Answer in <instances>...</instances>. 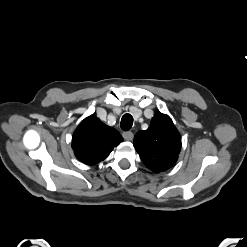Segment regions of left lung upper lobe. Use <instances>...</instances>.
Wrapping results in <instances>:
<instances>
[{"mask_svg":"<svg viewBox=\"0 0 247 247\" xmlns=\"http://www.w3.org/2000/svg\"><path fill=\"white\" fill-rule=\"evenodd\" d=\"M134 147L143 163L158 173L171 168L177 161L181 137L170 117L157 112L150 127L135 135Z\"/></svg>","mask_w":247,"mask_h":247,"instance_id":"5c2ea615","label":"left lung upper lobe"}]
</instances>
